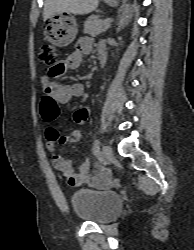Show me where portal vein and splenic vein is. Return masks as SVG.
Returning a JSON list of instances; mask_svg holds the SVG:
<instances>
[{
	"label": "portal vein and splenic vein",
	"mask_w": 194,
	"mask_h": 250,
	"mask_svg": "<svg viewBox=\"0 0 194 250\" xmlns=\"http://www.w3.org/2000/svg\"><path fill=\"white\" fill-rule=\"evenodd\" d=\"M104 21H105V24H110L113 21V19L108 18V19H106Z\"/></svg>",
	"instance_id": "18ae733b"
}]
</instances>
